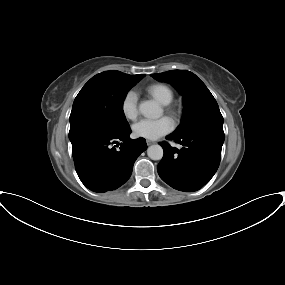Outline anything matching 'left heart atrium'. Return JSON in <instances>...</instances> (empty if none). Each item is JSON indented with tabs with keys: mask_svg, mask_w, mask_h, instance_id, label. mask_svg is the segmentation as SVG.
Returning a JSON list of instances; mask_svg holds the SVG:
<instances>
[{
	"mask_svg": "<svg viewBox=\"0 0 285 285\" xmlns=\"http://www.w3.org/2000/svg\"><path fill=\"white\" fill-rule=\"evenodd\" d=\"M174 128L173 121L168 117L159 119H142L133 126L135 136L155 140L171 132Z\"/></svg>",
	"mask_w": 285,
	"mask_h": 285,
	"instance_id": "left-heart-atrium-1",
	"label": "left heart atrium"
}]
</instances>
